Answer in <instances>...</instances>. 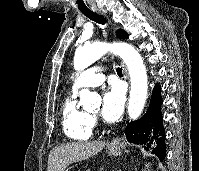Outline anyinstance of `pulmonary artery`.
<instances>
[{
	"label": "pulmonary artery",
	"instance_id": "obj_1",
	"mask_svg": "<svg viewBox=\"0 0 199 171\" xmlns=\"http://www.w3.org/2000/svg\"><path fill=\"white\" fill-rule=\"evenodd\" d=\"M105 79L104 70L95 67L86 68L74 80L72 90L77 91L82 87H95Z\"/></svg>",
	"mask_w": 199,
	"mask_h": 171
}]
</instances>
